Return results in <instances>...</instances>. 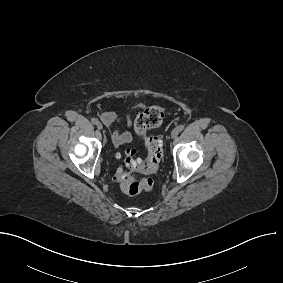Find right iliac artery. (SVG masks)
<instances>
[{
    "mask_svg": "<svg viewBox=\"0 0 283 283\" xmlns=\"http://www.w3.org/2000/svg\"><path fill=\"white\" fill-rule=\"evenodd\" d=\"M91 122L95 125H97L99 123L98 119H96V118H92Z\"/></svg>",
    "mask_w": 283,
    "mask_h": 283,
    "instance_id": "right-iliac-artery-1",
    "label": "right iliac artery"
}]
</instances>
